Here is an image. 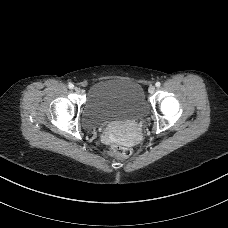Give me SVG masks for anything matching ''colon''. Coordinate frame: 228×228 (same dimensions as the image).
I'll return each mask as SVG.
<instances>
[{
    "label": "colon",
    "instance_id": "1",
    "mask_svg": "<svg viewBox=\"0 0 228 228\" xmlns=\"http://www.w3.org/2000/svg\"><path fill=\"white\" fill-rule=\"evenodd\" d=\"M110 147L112 154L117 158H127L132 154L130 148L118 140H112Z\"/></svg>",
    "mask_w": 228,
    "mask_h": 228
}]
</instances>
